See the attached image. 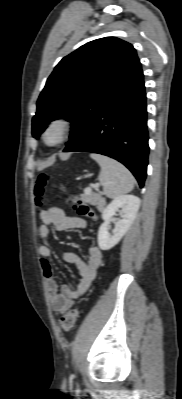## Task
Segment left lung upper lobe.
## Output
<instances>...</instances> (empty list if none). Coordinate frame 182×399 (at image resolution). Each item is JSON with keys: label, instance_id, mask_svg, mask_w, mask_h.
<instances>
[{"label": "left lung upper lobe", "instance_id": "obj_1", "mask_svg": "<svg viewBox=\"0 0 182 399\" xmlns=\"http://www.w3.org/2000/svg\"><path fill=\"white\" fill-rule=\"evenodd\" d=\"M141 71L133 46L115 37L86 43L64 57L48 78L32 120L35 138L55 119L72 122L70 140L80 137L108 100Z\"/></svg>", "mask_w": 182, "mask_h": 399}]
</instances>
